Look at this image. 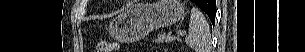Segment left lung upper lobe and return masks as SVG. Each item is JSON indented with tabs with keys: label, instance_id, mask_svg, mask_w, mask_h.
I'll use <instances>...</instances> for the list:
<instances>
[{
	"label": "left lung upper lobe",
	"instance_id": "left-lung-upper-lobe-1",
	"mask_svg": "<svg viewBox=\"0 0 305 52\" xmlns=\"http://www.w3.org/2000/svg\"><path fill=\"white\" fill-rule=\"evenodd\" d=\"M192 1V0H191ZM196 1V4L198 5V6H203L204 5V3L206 2V0H195Z\"/></svg>",
	"mask_w": 305,
	"mask_h": 52
}]
</instances>
